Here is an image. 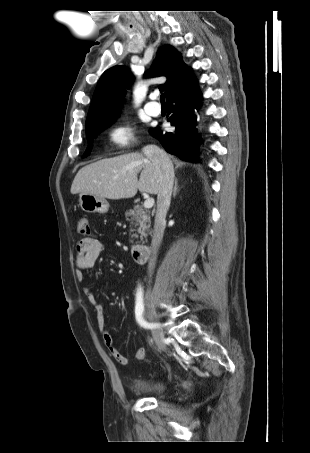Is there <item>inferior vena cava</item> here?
<instances>
[{
    "mask_svg": "<svg viewBox=\"0 0 310 453\" xmlns=\"http://www.w3.org/2000/svg\"><path fill=\"white\" fill-rule=\"evenodd\" d=\"M144 155L153 163L160 173V187L157 195V211L155 215L153 238L151 243L152 255L148 264L151 273L155 267L157 251L162 242L166 223V214L170 206L174 182V168L169 156L155 145L143 148Z\"/></svg>",
    "mask_w": 310,
    "mask_h": 453,
    "instance_id": "obj_1",
    "label": "inferior vena cava"
}]
</instances>
